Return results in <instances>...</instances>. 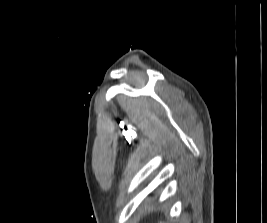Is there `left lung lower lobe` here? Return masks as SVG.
<instances>
[{"instance_id": "left-lung-lower-lobe-1", "label": "left lung lower lobe", "mask_w": 267, "mask_h": 223, "mask_svg": "<svg viewBox=\"0 0 267 223\" xmlns=\"http://www.w3.org/2000/svg\"><path fill=\"white\" fill-rule=\"evenodd\" d=\"M160 187H173V182H160Z\"/></svg>"}]
</instances>
